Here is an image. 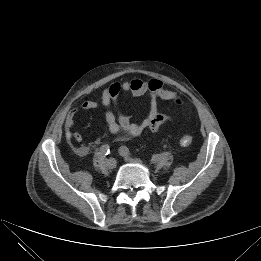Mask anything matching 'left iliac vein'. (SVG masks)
Masks as SVG:
<instances>
[{"label":"left iliac vein","instance_id":"4c4485c4","mask_svg":"<svg viewBox=\"0 0 261 261\" xmlns=\"http://www.w3.org/2000/svg\"><path fill=\"white\" fill-rule=\"evenodd\" d=\"M120 154L123 156V158L128 161V162H135V163H142V161L138 158H132L122 152H120Z\"/></svg>","mask_w":261,"mask_h":261}]
</instances>
